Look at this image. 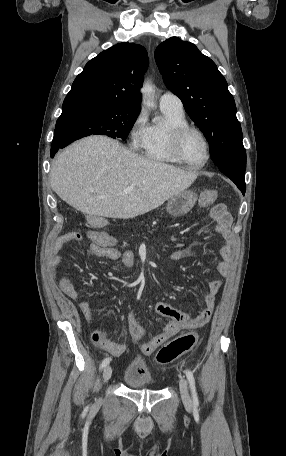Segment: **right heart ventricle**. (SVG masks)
I'll return each mask as SVG.
<instances>
[{"mask_svg": "<svg viewBox=\"0 0 286 456\" xmlns=\"http://www.w3.org/2000/svg\"><path fill=\"white\" fill-rule=\"evenodd\" d=\"M164 115L163 122L153 123L147 126L145 136L140 144L143 155L154 162L180 163L170 152L168 134L171 127L187 124L184 112H177L161 108Z\"/></svg>", "mask_w": 286, "mask_h": 456, "instance_id": "1", "label": "right heart ventricle"}]
</instances>
